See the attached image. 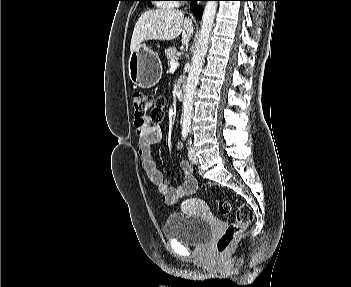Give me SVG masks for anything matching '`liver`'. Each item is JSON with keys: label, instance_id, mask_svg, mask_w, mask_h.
I'll return each mask as SVG.
<instances>
[{"label": "liver", "instance_id": "obj_1", "mask_svg": "<svg viewBox=\"0 0 351 287\" xmlns=\"http://www.w3.org/2000/svg\"><path fill=\"white\" fill-rule=\"evenodd\" d=\"M194 33L192 20L182 11L162 8L143 13L135 24L130 51L134 52L143 41L176 39L182 34V44L187 45Z\"/></svg>", "mask_w": 351, "mask_h": 287}]
</instances>
